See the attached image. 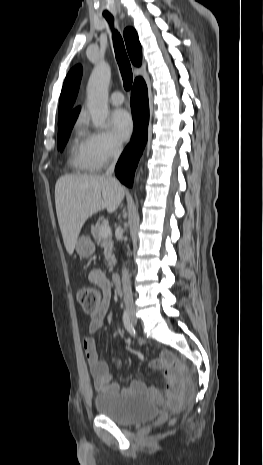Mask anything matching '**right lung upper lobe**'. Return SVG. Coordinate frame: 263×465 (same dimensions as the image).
Here are the masks:
<instances>
[{
    "mask_svg": "<svg viewBox=\"0 0 263 465\" xmlns=\"http://www.w3.org/2000/svg\"><path fill=\"white\" fill-rule=\"evenodd\" d=\"M124 39L132 63L136 66H140L142 62V48L135 29L130 27L126 28L124 30ZM81 76V65L75 66L67 74L60 95L58 122L77 113L79 114L80 107L73 110L71 109L77 97Z\"/></svg>",
    "mask_w": 263,
    "mask_h": 465,
    "instance_id": "1",
    "label": "right lung upper lobe"
}]
</instances>
